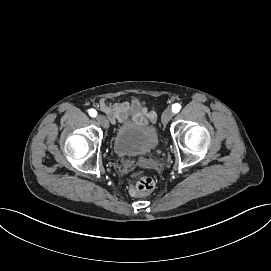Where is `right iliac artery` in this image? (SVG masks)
Returning a JSON list of instances; mask_svg holds the SVG:
<instances>
[{
	"label": "right iliac artery",
	"mask_w": 271,
	"mask_h": 271,
	"mask_svg": "<svg viewBox=\"0 0 271 271\" xmlns=\"http://www.w3.org/2000/svg\"><path fill=\"white\" fill-rule=\"evenodd\" d=\"M89 115H90L91 117H96L97 111H96L95 109H90V110H89Z\"/></svg>",
	"instance_id": "obj_1"
}]
</instances>
